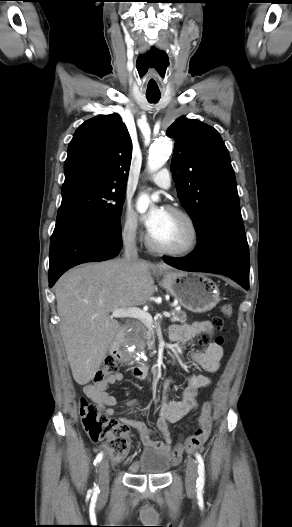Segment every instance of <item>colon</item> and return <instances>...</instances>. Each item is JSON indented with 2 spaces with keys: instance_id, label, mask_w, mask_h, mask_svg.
Masks as SVG:
<instances>
[{
  "instance_id": "5ec220e1",
  "label": "colon",
  "mask_w": 292,
  "mask_h": 527,
  "mask_svg": "<svg viewBox=\"0 0 292 527\" xmlns=\"http://www.w3.org/2000/svg\"><path fill=\"white\" fill-rule=\"evenodd\" d=\"M222 313L230 316L232 308L230 305L222 307ZM217 329H222L223 321L220 317L212 320ZM211 335L203 332L199 335V341L203 344L209 343ZM220 343L221 340L217 339ZM118 371V362L115 357L108 356L99 370L96 372L93 382L101 383ZM80 415L85 432L94 443L102 444L106 450L116 459L124 458L131 448V437L129 425L114 418H108L101 414L98 406L82 400L80 403Z\"/></svg>"
}]
</instances>
